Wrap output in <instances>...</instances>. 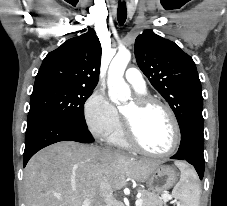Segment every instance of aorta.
<instances>
[{
    "label": "aorta",
    "mask_w": 227,
    "mask_h": 206,
    "mask_svg": "<svg viewBox=\"0 0 227 206\" xmlns=\"http://www.w3.org/2000/svg\"><path fill=\"white\" fill-rule=\"evenodd\" d=\"M130 59L131 53L129 50H120L109 66L107 80L108 95L115 104L126 102L131 97L130 88L123 78Z\"/></svg>",
    "instance_id": "obj_1"
}]
</instances>
